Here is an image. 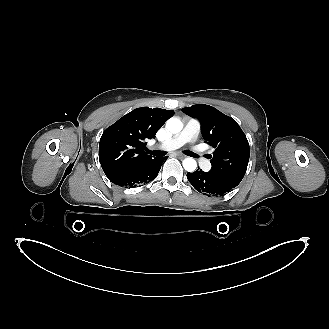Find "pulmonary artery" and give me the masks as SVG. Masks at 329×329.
I'll return each instance as SVG.
<instances>
[{"mask_svg": "<svg viewBox=\"0 0 329 329\" xmlns=\"http://www.w3.org/2000/svg\"><path fill=\"white\" fill-rule=\"evenodd\" d=\"M200 130V123L196 119H190L184 126L183 130L170 138L169 140L163 142L160 145V148L171 151L177 148H180L186 143L193 145L197 139L198 133ZM193 153L195 154L196 158L199 159L200 166L204 170H209L211 168V164L202 156L200 151L196 146H192Z\"/></svg>", "mask_w": 329, "mask_h": 329, "instance_id": "pulmonary-artery-1", "label": "pulmonary artery"}]
</instances>
